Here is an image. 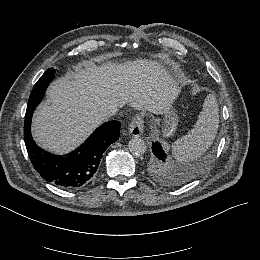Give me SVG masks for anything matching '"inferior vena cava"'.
Returning a JSON list of instances; mask_svg holds the SVG:
<instances>
[{
	"label": "inferior vena cava",
	"instance_id": "obj_1",
	"mask_svg": "<svg viewBox=\"0 0 260 260\" xmlns=\"http://www.w3.org/2000/svg\"><path fill=\"white\" fill-rule=\"evenodd\" d=\"M123 101L118 99V98H114L113 100H111L106 107V112L105 114L107 116H113L118 112V108L123 106Z\"/></svg>",
	"mask_w": 260,
	"mask_h": 260
}]
</instances>
